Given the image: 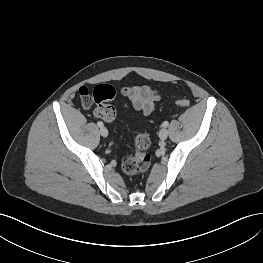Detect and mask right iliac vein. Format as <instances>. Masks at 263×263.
I'll list each match as a JSON object with an SVG mask.
<instances>
[{"label": "right iliac vein", "mask_w": 263, "mask_h": 263, "mask_svg": "<svg viewBox=\"0 0 263 263\" xmlns=\"http://www.w3.org/2000/svg\"><path fill=\"white\" fill-rule=\"evenodd\" d=\"M99 132H100L101 136H103V137L108 136V130L105 127H101Z\"/></svg>", "instance_id": "63e3f726"}]
</instances>
